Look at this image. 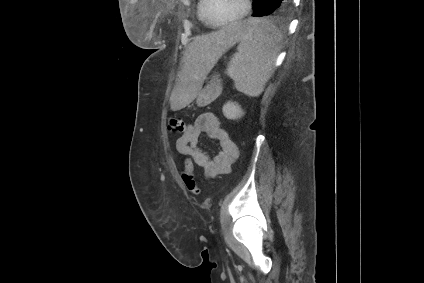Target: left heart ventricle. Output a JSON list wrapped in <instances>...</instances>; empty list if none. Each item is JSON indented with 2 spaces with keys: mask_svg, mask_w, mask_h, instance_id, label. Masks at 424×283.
Listing matches in <instances>:
<instances>
[{
  "mask_svg": "<svg viewBox=\"0 0 424 283\" xmlns=\"http://www.w3.org/2000/svg\"><path fill=\"white\" fill-rule=\"evenodd\" d=\"M243 9V0H210L208 17L212 23L218 24L237 17Z\"/></svg>",
  "mask_w": 424,
  "mask_h": 283,
  "instance_id": "obj_1",
  "label": "left heart ventricle"
}]
</instances>
